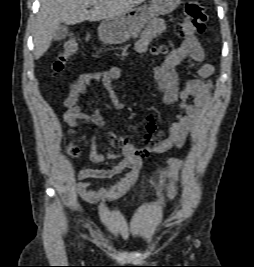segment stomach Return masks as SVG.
Listing matches in <instances>:
<instances>
[{
  "mask_svg": "<svg viewBox=\"0 0 254 267\" xmlns=\"http://www.w3.org/2000/svg\"><path fill=\"white\" fill-rule=\"evenodd\" d=\"M180 3L181 0H151L149 5H142L120 16L105 19L98 27L99 37L110 44L125 42L155 15L169 14Z\"/></svg>",
  "mask_w": 254,
  "mask_h": 267,
  "instance_id": "0dacf381",
  "label": "stomach"
}]
</instances>
